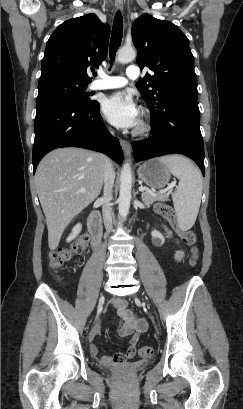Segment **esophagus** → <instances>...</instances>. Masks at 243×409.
I'll list each match as a JSON object with an SVG mask.
<instances>
[{"label":"esophagus","instance_id":"1","mask_svg":"<svg viewBox=\"0 0 243 409\" xmlns=\"http://www.w3.org/2000/svg\"><path fill=\"white\" fill-rule=\"evenodd\" d=\"M115 8H116L117 11L123 10V3H122L121 0H116L115 1ZM120 145H121L125 155L130 156V154H131V144L128 141L121 139L120 140Z\"/></svg>","mask_w":243,"mask_h":409}]
</instances>
